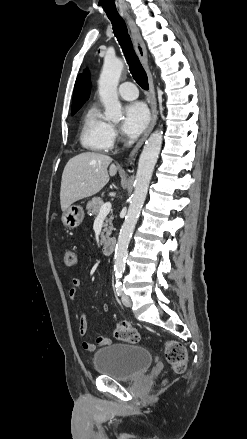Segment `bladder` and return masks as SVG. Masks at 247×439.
I'll list each match as a JSON object with an SVG mask.
<instances>
[{"label": "bladder", "instance_id": "obj_1", "mask_svg": "<svg viewBox=\"0 0 247 439\" xmlns=\"http://www.w3.org/2000/svg\"><path fill=\"white\" fill-rule=\"evenodd\" d=\"M153 362L144 347L111 344L97 351L93 365L97 373L120 381H132L144 374Z\"/></svg>", "mask_w": 247, "mask_h": 439}]
</instances>
